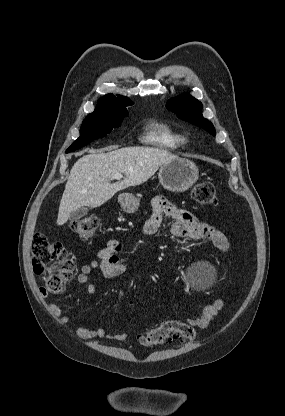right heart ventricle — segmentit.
Masks as SVG:
<instances>
[{
	"label": "right heart ventricle",
	"instance_id": "obj_1",
	"mask_svg": "<svg viewBox=\"0 0 285 416\" xmlns=\"http://www.w3.org/2000/svg\"><path fill=\"white\" fill-rule=\"evenodd\" d=\"M183 137L169 124L154 121L144 136V142L156 148L173 150L183 143Z\"/></svg>",
	"mask_w": 285,
	"mask_h": 416
}]
</instances>
